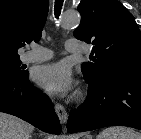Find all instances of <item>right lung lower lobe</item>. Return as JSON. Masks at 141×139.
Segmentation results:
<instances>
[{
  "mask_svg": "<svg viewBox=\"0 0 141 139\" xmlns=\"http://www.w3.org/2000/svg\"><path fill=\"white\" fill-rule=\"evenodd\" d=\"M0 112L17 116L47 133H61L53 104L30 83L28 73L18 79L0 80Z\"/></svg>",
  "mask_w": 141,
  "mask_h": 139,
  "instance_id": "98d812e1",
  "label": "right lung lower lobe"
}]
</instances>
